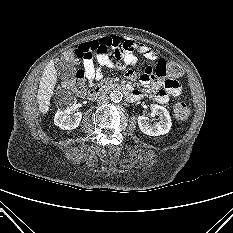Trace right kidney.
<instances>
[{
    "mask_svg": "<svg viewBox=\"0 0 233 233\" xmlns=\"http://www.w3.org/2000/svg\"><path fill=\"white\" fill-rule=\"evenodd\" d=\"M76 103L72 101L65 109H58L54 117V124L63 130H72L79 126L82 119V112L74 113L70 116L71 108Z\"/></svg>",
    "mask_w": 233,
    "mask_h": 233,
    "instance_id": "right-kidney-1",
    "label": "right kidney"
}]
</instances>
